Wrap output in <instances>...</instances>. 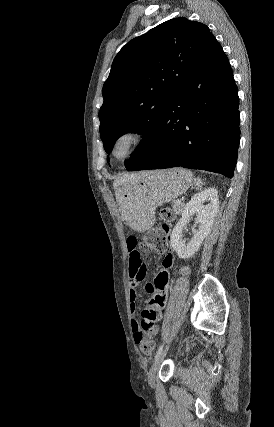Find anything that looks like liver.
<instances>
[{
    "label": "liver",
    "instance_id": "6515ba94",
    "mask_svg": "<svg viewBox=\"0 0 274 427\" xmlns=\"http://www.w3.org/2000/svg\"><path fill=\"white\" fill-rule=\"evenodd\" d=\"M141 174H124V176H119L113 182V188L116 194V200L121 208L124 196L126 194V188L129 182H132V178H138Z\"/></svg>",
    "mask_w": 274,
    "mask_h": 427
}]
</instances>
